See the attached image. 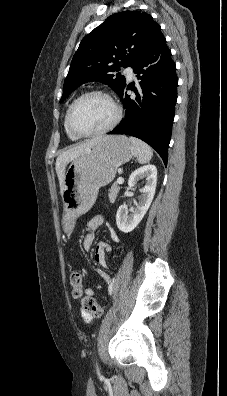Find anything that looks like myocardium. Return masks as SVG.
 Masks as SVG:
<instances>
[{"instance_id":"1","label":"myocardium","mask_w":227,"mask_h":396,"mask_svg":"<svg viewBox=\"0 0 227 396\" xmlns=\"http://www.w3.org/2000/svg\"><path fill=\"white\" fill-rule=\"evenodd\" d=\"M94 95H98V96H102V97L106 98L113 106V108L115 110V116H114L113 120L107 126L101 128L99 130H96L93 132H86V133L80 132L73 126V123H72V114H73L74 108L82 99H84L88 96H94ZM122 116H123L122 107L109 93L102 91V90H89V91H86V92L82 93L81 95H79L70 104V106L67 110V114H66V124H67L69 131L74 136H76L78 138H87V137L99 136V135H102V134H105V133L111 131L119 124V122L122 119Z\"/></svg>"}]
</instances>
